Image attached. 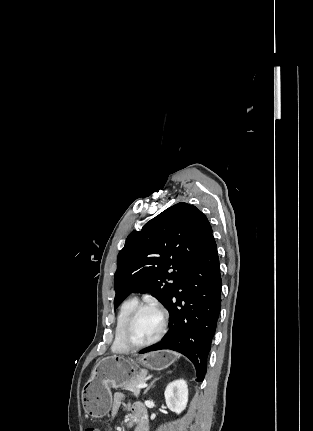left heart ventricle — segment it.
<instances>
[{
    "mask_svg": "<svg viewBox=\"0 0 313 431\" xmlns=\"http://www.w3.org/2000/svg\"><path fill=\"white\" fill-rule=\"evenodd\" d=\"M161 327V316L153 308L142 310L132 327L130 337L135 343H144L154 338Z\"/></svg>",
    "mask_w": 313,
    "mask_h": 431,
    "instance_id": "b2bd125f",
    "label": "left heart ventricle"
}]
</instances>
